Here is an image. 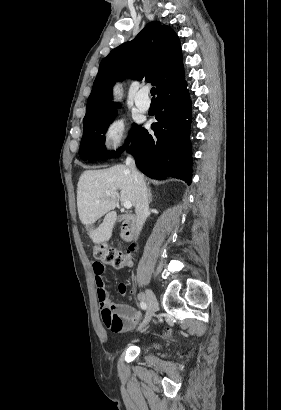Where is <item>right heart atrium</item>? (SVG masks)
<instances>
[{"mask_svg":"<svg viewBox=\"0 0 281 410\" xmlns=\"http://www.w3.org/2000/svg\"><path fill=\"white\" fill-rule=\"evenodd\" d=\"M126 125L122 117L114 118L104 132V145L108 150L120 149L125 143Z\"/></svg>","mask_w":281,"mask_h":410,"instance_id":"right-heart-atrium-1","label":"right heart atrium"}]
</instances>
